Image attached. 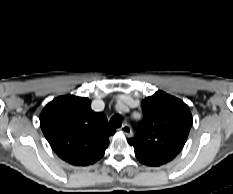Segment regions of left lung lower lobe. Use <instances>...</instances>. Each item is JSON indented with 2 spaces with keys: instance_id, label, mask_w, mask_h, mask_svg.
<instances>
[{
  "instance_id": "obj_1",
  "label": "left lung lower lobe",
  "mask_w": 233,
  "mask_h": 194,
  "mask_svg": "<svg viewBox=\"0 0 233 194\" xmlns=\"http://www.w3.org/2000/svg\"><path fill=\"white\" fill-rule=\"evenodd\" d=\"M143 164L149 165V166H156V165H154V164H152V163H147V162H144Z\"/></svg>"
}]
</instances>
